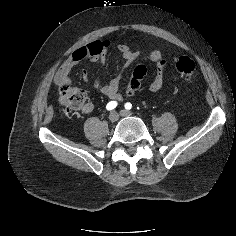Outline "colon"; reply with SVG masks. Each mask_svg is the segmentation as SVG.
<instances>
[{"mask_svg": "<svg viewBox=\"0 0 236 236\" xmlns=\"http://www.w3.org/2000/svg\"><path fill=\"white\" fill-rule=\"evenodd\" d=\"M176 70L178 74L190 80L194 77L196 65L192 58L183 56L176 62ZM147 72V68L143 64L137 65L129 79L127 90L136 92ZM87 101V93L85 90L71 85H63L59 92V109L64 114H72L83 108Z\"/></svg>", "mask_w": 236, "mask_h": 236, "instance_id": "5ec220e1", "label": "colon"}]
</instances>
